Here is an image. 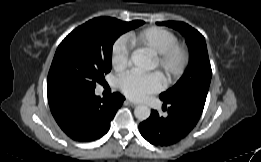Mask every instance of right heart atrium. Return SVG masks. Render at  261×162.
<instances>
[{
  "label": "right heart atrium",
  "instance_id": "1",
  "mask_svg": "<svg viewBox=\"0 0 261 162\" xmlns=\"http://www.w3.org/2000/svg\"><path fill=\"white\" fill-rule=\"evenodd\" d=\"M111 65L117 72H122L129 66V51L124 39H120L113 46Z\"/></svg>",
  "mask_w": 261,
  "mask_h": 162
}]
</instances>
